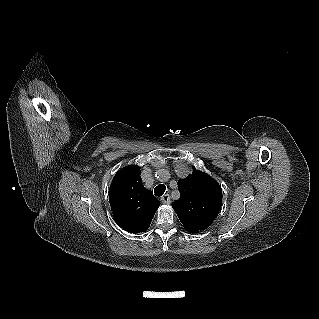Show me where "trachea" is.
I'll return each mask as SVG.
<instances>
[{"mask_svg": "<svg viewBox=\"0 0 319 319\" xmlns=\"http://www.w3.org/2000/svg\"><path fill=\"white\" fill-rule=\"evenodd\" d=\"M165 191H166V186L163 184H160L155 187L154 194L155 196L160 197L164 194Z\"/></svg>", "mask_w": 319, "mask_h": 319, "instance_id": "1", "label": "trachea"}]
</instances>
